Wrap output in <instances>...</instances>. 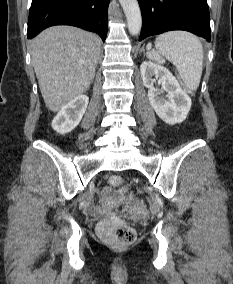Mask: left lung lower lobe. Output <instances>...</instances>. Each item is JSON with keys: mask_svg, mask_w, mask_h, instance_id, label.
Segmentation results:
<instances>
[{"mask_svg": "<svg viewBox=\"0 0 233 284\" xmlns=\"http://www.w3.org/2000/svg\"><path fill=\"white\" fill-rule=\"evenodd\" d=\"M142 13L139 40L170 30H185L210 41L207 0H138Z\"/></svg>", "mask_w": 233, "mask_h": 284, "instance_id": "obj_1", "label": "left lung lower lobe"}]
</instances>
